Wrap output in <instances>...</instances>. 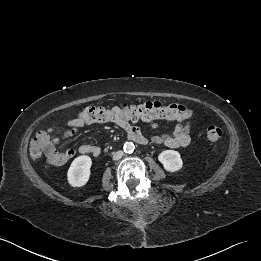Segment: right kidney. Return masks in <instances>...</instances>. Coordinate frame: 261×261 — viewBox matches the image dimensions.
Listing matches in <instances>:
<instances>
[{
    "label": "right kidney",
    "mask_w": 261,
    "mask_h": 261,
    "mask_svg": "<svg viewBox=\"0 0 261 261\" xmlns=\"http://www.w3.org/2000/svg\"><path fill=\"white\" fill-rule=\"evenodd\" d=\"M92 160L82 155L73 160L67 173L68 182L72 187L84 186L90 177Z\"/></svg>",
    "instance_id": "1"
}]
</instances>
